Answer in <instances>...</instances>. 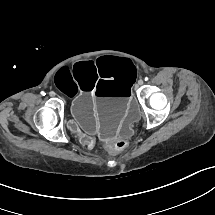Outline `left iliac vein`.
<instances>
[{
	"instance_id": "obj_1",
	"label": "left iliac vein",
	"mask_w": 215,
	"mask_h": 215,
	"mask_svg": "<svg viewBox=\"0 0 215 215\" xmlns=\"http://www.w3.org/2000/svg\"><path fill=\"white\" fill-rule=\"evenodd\" d=\"M138 85H143V80H139Z\"/></svg>"
}]
</instances>
